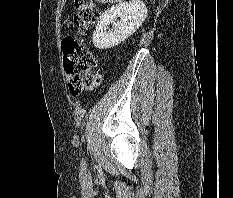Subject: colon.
Instances as JSON below:
<instances>
[{
	"instance_id": "obj_1",
	"label": "colon",
	"mask_w": 233,
	"mask_h": 198,
	"mask_svg": "<svg viewBox=\"0 0 233 198\" xmlns=\"http://www.w3.org/2000/svg\"><path fill=\"white\" fill-rule=\"evenodd\" d=\"M77 14L71 29L80 33L94 25L99 10L92 0H75ZM64 67L69 88L73 94L94 89L100 82V75L95 71V57L77 37L67 36L62 41Z\"/></svg>"
}]
</instances>
